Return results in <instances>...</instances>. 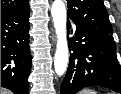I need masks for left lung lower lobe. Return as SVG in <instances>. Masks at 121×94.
I'll use <instances>...</instances> for the list:
<instances>
[{
    "label": "left lung lower lobe",
    "instance_id": "left-lung-lower-lobe-1",
    "mask_svg": "<svg viewBox=\"0 0 121 94\" xmlns=\"http://www.w3.org/2000/svg\"><path fill=\"white\" fill-rule=\"evenodd\" d=\"M76 26L75 36L69 41V66L60 94H76L88 86H102L121 93V67L113 36Z\"/></svg>",
    "mask_w": 121,
    "mask_h": 94
}]
</instances>
